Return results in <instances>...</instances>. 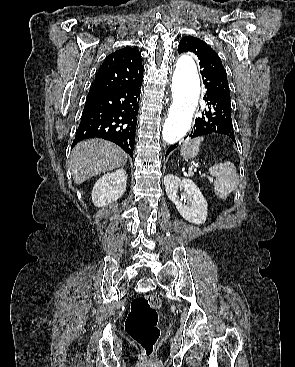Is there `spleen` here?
Instances as JSON below:
<instances>
[{"label": "spleen", "instance_id": "spleen-1", "mask_svg": "<svg viewBox=\"0 0 295 367\" xmlns=\"http://www.w3.org/2000/svg\"><path fill=\"white\" fill-rule=\"evenodd\" d=\"M203 140V137H199L185 142L180 149L182 157L185 160L195 158L199 153V147ZM209 172L216 178L214 192L219 199H226L239 185V176L234 164L230 161L221 162L210 167Z\"/></svg>", "mask_w": 295, "mask_h": 367}]
</instances>
